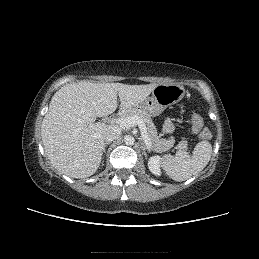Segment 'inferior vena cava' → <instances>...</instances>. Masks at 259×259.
I'll return each mask as SVG.
<instances>
[{"instance_id": "602c4592", "label": "inferior vena cava", "mask_w": 259, "mask_h": 259, "mask_svg": "<svg viewBox=\"0 0 259 259\" xmlns=\"http://www.w3.org/2000/svg\"><path fill=\"white\" fill-rule=\"evenodd\" d=\"M121 134V129L117 126H108L104 131V139L106 142H111L117 139Z\"/></svg>"}]
</instances>
